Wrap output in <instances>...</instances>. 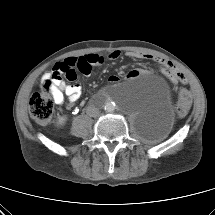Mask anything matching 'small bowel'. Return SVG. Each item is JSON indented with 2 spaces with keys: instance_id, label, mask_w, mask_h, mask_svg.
Returning <instances> with one entry per match:
<instances>
[{
  "instance_id": "c3829d8e",
  "label": "small bowel",
  "mask_w": 215,
  "mask_h": 215,
  "mask_svg": "<svg viewBox=\"0 0 215 215\" xmlns=\"http://www.w3.org/2000/svg\"><path fill=\"white\" fill-rule=\"evenodd\" d=\"M121 56V53L119 51H112L108 54L107 58L109 60H117ZM127 56L130 58L135 59H153L155 61H158L160 63L166 64L164 60L160 58H156L147 54L137 53V52H128ZM65 62H68L71 64L76 71L81 72L78 68H80L81 64H85L89 70L87 72H81L82 74L89 75L92 68L94 66L102 65L105 62V57L102 55H98L95 53L87 54L80 57H70L65 59L64 61L56 64L53 69L49 72H47L43 78L42 83L52 78L53 73L58 69L60 65H65ZM142 72L138 70H133L129 73L128 77L135 78L139 76ZM77 78V73L75 78L70 79L71 81L75 80ZM110 83H116L119 81V77L116 75H111L108 78ZM52 93L54 95L55 101L57 104L61 105L65 101V96L68 98V107L71 108L73 104L79 100L82 93V87L79 84H66L62 78L53 79V85H52Z\"/></svg>"
}]
</instances>
